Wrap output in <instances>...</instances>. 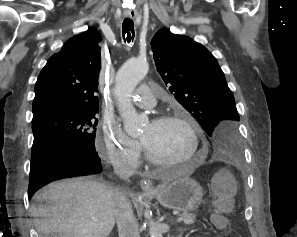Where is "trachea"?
<instances>
[{"instance_id": "1", "label": "trachea", "mask_w": 297, "mask_h": 237, "mask_svg": "<svg viewBox=\"0 0 297 237\" xmlns=\"http://www.w3.org/2000/svg\"><path fill=\"white\" fill-rule=\"evenodd\" d=\"M122 36L124 41H127L128 43L131 42V40L134 39L135 31H134V22L130 18H126L123 21L122 24Z\"/></svg>"}]
</instances>
